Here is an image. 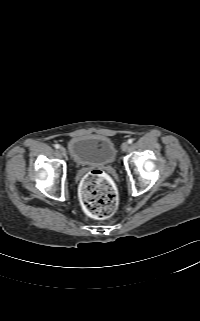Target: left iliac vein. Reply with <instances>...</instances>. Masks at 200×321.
<instances>
[{
  "instance_id": "obj_1",
  "label": "left iliac vein",
  "mask_w": 200,
  "mask_h": 321,
  "mask_svg": "<svg viewBox=\"0 0 200 321\" xmlns=\"http://www.w3.org/2000/svg\"><path fill=\"white\" fill-rule=\"evenodd\" d=\"M121 149H122V151L126 152L129 149V144L127 142H124L121 145Z\"/></svg>"
}]
</instances>
